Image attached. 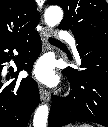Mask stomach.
I'll list each match as a JSON object with an SVG mask.
<instances>
[{"label":"stomach","instance_id":"stomach-1","mask_svg":"<svg viewBox=\"0 0 108 127\" xmlns=\"http://www.w3.org/2000/svg\"><path fill=\"white\" fill-rule=\"evenodd\" d=\"M66 127H81V126H79V125H68Z\"/></svg>","mask_w":108,"mask_h":127}]
</instances>
